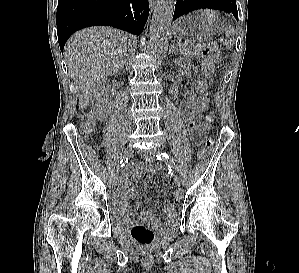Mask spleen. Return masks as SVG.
Here are the masks:
<instances>
[{"mask_svg":"<svg viewBox=\"0 0 299 273\" xmlns=\"http://www.w3.org/2000/svg\"><path fill=\"white\" fill-rule=\"evenodd\" d=\"M225 33H226V36L228 37V40L225 43V46L227 48H231L234 45V33H235L234 28L231 26L227 27L225 30Z\"/></svg>","mask_w":299,"mask_h":273,"instance_id":"obj_1","label":"spleen"}]
</instances>
